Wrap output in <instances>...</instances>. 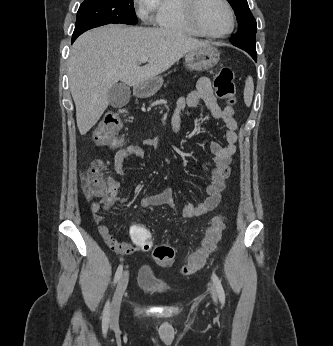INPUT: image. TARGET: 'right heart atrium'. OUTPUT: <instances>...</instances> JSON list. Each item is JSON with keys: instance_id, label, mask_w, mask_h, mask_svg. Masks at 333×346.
<instances>
[{"instance_id": "right-heart-atrium-1", "label": "right heart atrium", "mask_w": 333, "mask_h": 346, "mask_svg": "<svg viewBox=\"0 0 333 346\" xmlns=\"http://www.w3.org/2000/svg\"><path fill=\"white\" fill-rule=\"evenodd\" d=\"M138 17L146 22L153 21L160 5V0H134Z\"/></svg>"}]
</instances>
